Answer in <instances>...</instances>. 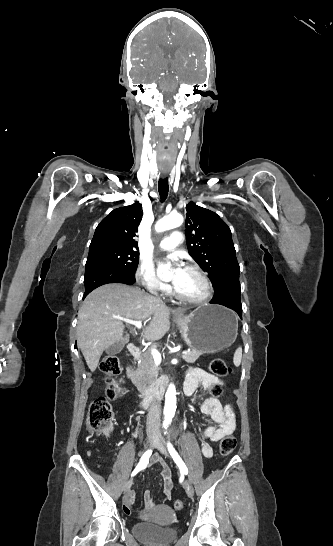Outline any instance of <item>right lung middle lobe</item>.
Here are the masks:
<instances>
[{
	"label": "right lung middle lobe",
	"mask_w": 333,
	"mask_h": 546,
	"mask_svg": "<svg viewBox=\"0 0 333 546\" xmlns=\"http://www.w3.org/2000/svg\"><path fill=\"white\" fill-rule=\"evenodd\" d=\"M139 261L136 250L117 247H105L89 251L86 267L94 264H103L115 267L135 275Z\"/></svg>",
	"instance_id": "dd1d6c3e"
}]
</instances>
